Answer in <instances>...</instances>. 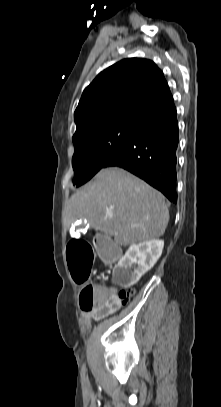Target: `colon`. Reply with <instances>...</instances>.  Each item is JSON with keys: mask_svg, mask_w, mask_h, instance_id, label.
<instances>
[{"mask_svg": "<svg viewBox=\"0 0 221 407\" xmlns=\"http://www.w3.org/2000/svg\"><path fill=\"white\" fill-rule=\"evenodd\" d=\"M94 246L97 255H101V260L107 261L110 268L120 260L122 248L117 246L116 240H110L109 234H96ZM94 256V248L86 240L75 239L68 244L67 257L72 277L82 285L81 308L87 312L106 316L125 305L134 291H113L89 282Z\"/></svg>", "mask_w": 221, "mask_h": 407, "instance_id": "colon-1", "label": "colon"}]
</instances>
